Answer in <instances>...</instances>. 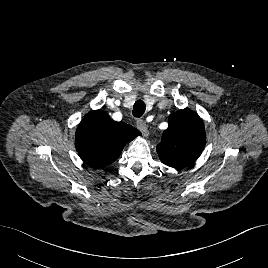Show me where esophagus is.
Returning <instances> with one entry per match:
<instances>
[{"label": "esophagus", "instance_id": "34e87169", "mask_svg": "<svg viewBox=\"0 0 268 268\" xmlns=\"http://www.w3.org/2000/svg\"><path fill=\"white\" fill-rule=\"evenodd\" d=\"M136 124H137V128L141 131L143 136L147 137L149 135V131H148L145 121L142 119H137Z\"/></svg>", "mask_w": 268, "mask_h": 268}]
</instances>
